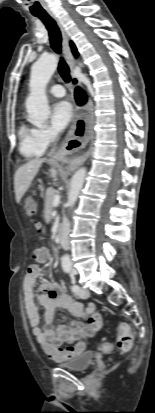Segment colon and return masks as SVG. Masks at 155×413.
<instances>
[{"label": "colon", "mask_w": 155, "mask_h": 413, "mask_svg": "<svg viewBox=\"0 0 155 413\" xmlns=\"http://www.w3.org/2000/svg\"><path fill=\"white\" fill-rule=\"evenodd\" d=\"M37 203V200L35 199V194L33 192H28L26 194V198L24 199V204L26 206H32L35 205ZM34 211L30 210V215H33ZM34 229L37 233L41 232V225L39 223H35L34 224ZM33 257L39 261V262H43L47 259V251L45 248H37L34 250L33 252ZM89 311L91 312H95V307L91 306L89 308ZM118 331H119V335H118V347L120 350L122 351H129L132 346H133V342H134V337L130 331V328L127 324L125 323H121L118 327ZM103 350L104 351H110L109 346L104 345L103 346ZM67 352V350H60Z\"/></svg>", "instance_id": "colon-1"}]
</instances>
